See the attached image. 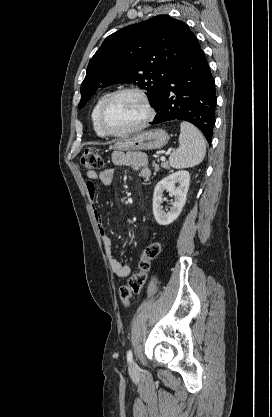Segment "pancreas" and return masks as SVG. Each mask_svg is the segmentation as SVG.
Segmentation results:
<instances>
[{
	"mask_svg": "<svg viewBox=\"0 0 272 417\" xmlns=\"http://www.w3.org/2000/svg\"><path fill=\"white\" fill-rule=\"evenodd\" d=\"M161 166H162L163 168H165V169H169V168H170L167 162H163V163L161 164ZM153 167H154V170H155V171H158V170H159V165H158L157 163H155V162H153Z\"/></svg>",
	"mask_w": 272,
	"mask_h": 417,
	"instance_id": "1",
	"label": "pancreas"
}]
</instances>
